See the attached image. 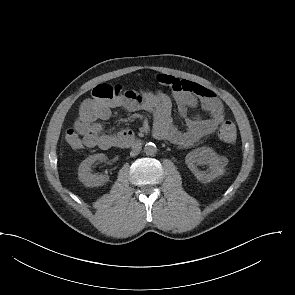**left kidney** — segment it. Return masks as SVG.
<instances>
[{
	"label": "left kidney",
	"mask_w": 295,
	"mask_h": 295,
	"mask_svg": "<svg viewBox=\"0 0 295 295\" xmlns=\"http://www.w3.org/2000/svg\"><path fill=\"white\" fill-rule=\"evenodd\" d=\"M185 163L201 182H210L224 172L222 157L210 147H201L189 152L185 157ZM203 164H208L210 166V171L208 173L197 169V165Z\"/></svg>",
	"instance_id": "1"
}]
</instances>
